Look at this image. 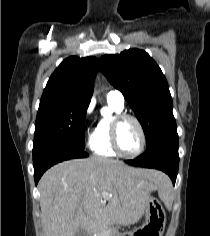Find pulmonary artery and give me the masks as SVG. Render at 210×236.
Masks as SVG:
<instances>
[{
  "instance_id": "1",
  "label": "pulmonary artery",
  "mask_w": 210,
  "mask_h": 236,
  "mask_svg": "<svg viewBox=\"0 0 210 236\" xmlns=\"http://www.w3.org/2000/svg\"><path fill=\"white\" fill-rule=\"evenodd\" d=\"M107 101L112 102L119 107H123L125 99L123 94L118 90H111L107 94Z\"/></svg>"
}]
</instances>
